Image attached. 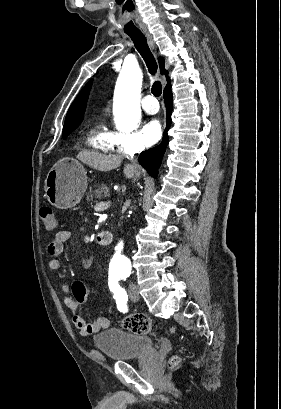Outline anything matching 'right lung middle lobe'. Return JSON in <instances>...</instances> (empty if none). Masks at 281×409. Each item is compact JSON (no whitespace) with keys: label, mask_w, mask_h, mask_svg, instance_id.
<instances>
[{"label":"right lung middle lobe","mask_w":281,"mask_h":409,"mask_svg":"<svg viewBox=\"0 0 281 409\" xmlns=\"http://www.w3.org/2000/svg\"><path fill=\"white\" fill-rule=\"evenodd\" d=\"M78 125L64 126L63 127V139H65Z\"/></svg>","instance_id":"obj_1"}]
</instances>
